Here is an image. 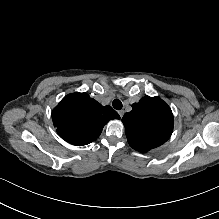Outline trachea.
<instances>
[{
  "label": "trachea",
  "mask_w": 219,
  "mask_h": 219,
  "mask_svg": "<svg viewBox=\"0 0 219 219\" xmlns=\"http://www.w3.org/2000/svg\"><path fill=\"white\" fill-rule=\"evenodd\" d=\"M112 105L116 110H121L123 107V104H122L121 100H119V99L113 100Z\"/></svg>",
  "instance_id": "obj_1"
}]
</instances>
